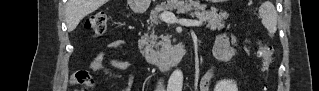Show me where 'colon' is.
<instances>
[{"instance_id":"colon-1","label":"colon","mask_w":319,"mask_h":91,"mask_svg":"<svg viewBox=\"0 0 319 91\" xmlns=\"http://www.w3.org/2000/svg\"><path fill=\"white\" fill-rule=\"evenodd\" d=\"M84 27L92 33L94 36H102L106 33L108 28V16L104 12H96L90 15L84 22ZM261 55L263 58L262 66L264 71L269 72L273 63V48L268 44H263L261 49ZM78 82L84 85L83 90H89L91 88V82L89 77L85 74L79 77Z\"/></svg>"}]
</instances>
